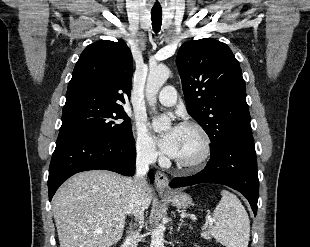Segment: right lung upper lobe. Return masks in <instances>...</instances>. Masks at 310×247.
<instances>
[{
    "instance_id": "obj_1",
    "label": "right lung upper lobe",
    "mask_w": 310,
    "mask_h": 247,
    "mask_svg": "<svg viewBox=\"0 0 310 247\" xmlns=\"http://www.w3.org/2000/svg\"><path fill=\"white\" fill-rule=\"evenodd\" d=\"M132 76V54L125 42H94L75 65L63 110L78 106L123 108L130 99Z\"/></svg>"
}]
</instances>
